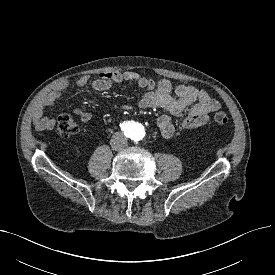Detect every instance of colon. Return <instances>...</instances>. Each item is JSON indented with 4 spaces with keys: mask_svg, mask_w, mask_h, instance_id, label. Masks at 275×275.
Wrapping results in <instances>:
<instances>
[{
    "mask_svg": "<svg viewBox=\"0 0 275 275\" xmlns=\"http://www.w3.org/2000/svg\"><path fill=\"white\" fill-rule=\"evenodd\" d=\"M213 122L218 125H224L228 122V116L223 111H218L213 115ZM78 124L73 116L69 113H63L58 118L57 133L63 137L68 138L78 132Z\"/></svg>",
    "mask_w": 275,
    "mask_h": 275,
    "instance_id": "1",
    "label": "colon"
}]
</instances>
